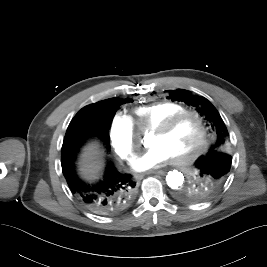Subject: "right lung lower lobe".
<instances>
[{
    "label": "right lung lower lobe",
    "instance_id": "right-lung-lower-lobe-1",
    "mask_svg": "<svg viewBox=\"0 0 267 267\" xmlns=\"http://www.w3.org/2000/svg\"><path fill=\"white\" fill-rule=\"evenodd\" d=\"M111 118L101 108H88L70 122L61 151L63 175L71 192L89 209L101 215H114L125 210L134 200L136 182L130 174L119 172L109 161L102 177L93 183L82 180L75 170V159L81 146L89 137L103 141Z\"/></svg>",
    "mask_w": 267,
    "mask_h": 267
}]
</instances>
